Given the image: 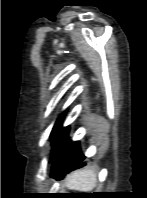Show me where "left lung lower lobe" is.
Masks as SVG:
<instances>
[{"label":"left lung lower lobe","mask_w":147,"mask_h":198,"mask_svg":"<svg viewBox=\"0 0 147 198\" xmlns=\"http://www.w3.org/2000/svg\"><path fill=\"white\" fill-rule=\"evenodd\" d=\"M85 156L81 153L79 142L68 140V133L52 154L51 174L54 177L61 178L71 171L81 168L85 165L83 160Z\"/></svg>","instance_id":"1"}]
</instances>
